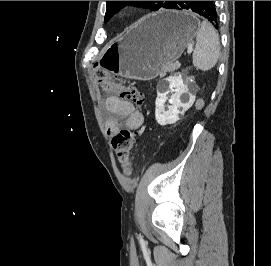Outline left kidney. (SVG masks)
I'll use <instances>...</instances> for the list:
<instances>
[{
	"instance_id": "1",
	"label": "left kidney",
	"mask_w": 271,
	"mask_h": 266,
	"mask_svg": "<svg viewBox=\"0 0 271 266\" xmlns=\"http://www.w3.org/2000/svg\"><path fill=\"white\" fill-rule=\"evenodd\" d=\"M169 89L172 92L168 99L167 93H158L155 101V118L158 124L164 126L173 124L180 119V115H184L194 102V97L190 95L188 84H185L182 75L175 74L168 78ZM188 98V101H186ZM169 101L170 106L165 109V102Z\"/></svg>"
}]
</instances>
